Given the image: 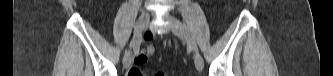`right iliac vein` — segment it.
Wrapping results in <instances>:
<instances>
[{
  "instance_id": "obj_1",
  "label": "right iliac vein",
  "mask_w": 333,
  "mask_h": 76,
  "mask_svg": "<svg viewBox=\"0 0 333 76\" xmlns=\"http://www.w3.org/2000/svg\"><path fill=\"white\" fill-rule=\"evenodd\" d=\"M149 19L150 16L148 11L146 10L142 11L134 28V38H137L138 36L141 35L142 31L146 28L147 24L149 23ZM131 61H132L131 51H127L123 58L124 67L129 68L131 65Z\"/></svg>"
}]
</instances>
